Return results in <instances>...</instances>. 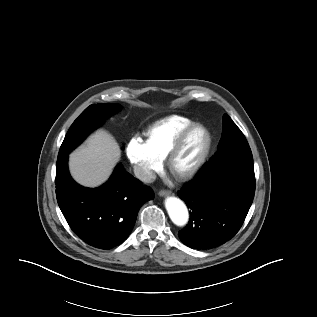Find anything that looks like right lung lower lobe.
I'll return each mask as SVG.
<instances>
[{"mask_svg": "<svg viewBox=\"0 0 317 317\" xmlns=\"http://www.w3.org/2000/svg\"><path fill=\"white\" fill-rule=\"evenodd\" d=\"M68 154L56 164V196L70 228L86 243L111 249L127 239L140 207L154 198L151 188L118 165L104 185L90 189L70 176Z\"/></svg>", "mask_w": 317, "mask_h": 317, "instance_id": "1", "label": "right lung lower lobe"}]
</instances>
